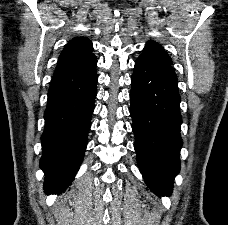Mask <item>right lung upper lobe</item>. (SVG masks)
Instances as JSON below:
<instances>
[{
    "label": "right lung upper lobe",
    "mask_w": 228,
    "mask_h": 225,
    "mask_svg": "<svg viewBox=\"0 0 228 225\" xmlns=\"http://www.w3.org/2000/svg\"><path fill=\"white\" fill-rule=\"evenodd\" d=\"M93 46L87 37H77L70 40L62 50L58 65L72 63L92 55Z\"/></svg>",
    "instance_id": "cb5924a9"
}]
</instances>
